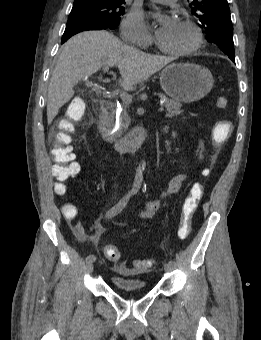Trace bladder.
<instances>
[{"label": "bladder", "mask_w": 261, "mask_h": 340, "mask_svg": "<svg viewBox=\"0 0 261 340\" xmlns=\"http://www.w3.org/2000/svg\"><path fill=\"white\" fill-rule=\"evenodd\" d=\"M111 280L114 286L124 293L142 292L147 288L145 281L139 278L113 276Z\"/></svg>", "instance_id": "obj_1"}]
</instances>
